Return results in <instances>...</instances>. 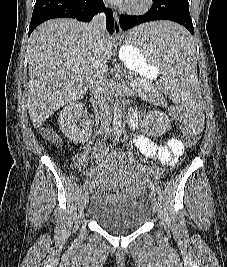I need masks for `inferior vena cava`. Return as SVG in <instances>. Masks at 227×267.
<instances>
[{
	"instance_id": "602c4592",
	"label": "inferior vena cava",
	"mask_w": 227,
	"mask_h": 267,
	"mask_svg": "<svg viewBox=\"0 0 227 267\" xmlns=\"http://www.w3.org/2000/svg\"><path fill=\"white\" fill-rule=\"evenodd\" d=\"M97 47V59L90 79V90L97 99L100 109V123L103 133H110L109 81L106 74L107 59L104 38L106 36V17L97 14L87 27Z\"/></svg>"
}]
</instances>
